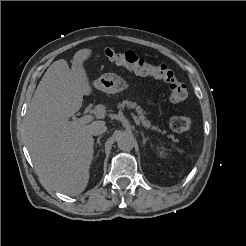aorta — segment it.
<instances>
[{
    "label": "aorta",
    "mask_w": 246,
    "mask_h": 246,
    "mask_svg": "<svg viewBox=\"0 0 246 246\" xmlns=\"http://www.w3.org/2000/svg\"><path fill=\"white\" fill-rule=\"evenodd\" d=\"M118 148L122 151H130L134 147V137L130 133L122 132L117 136Z\"/></svg>",
    "instance_id": "aorta-1"
}]
</instances>
